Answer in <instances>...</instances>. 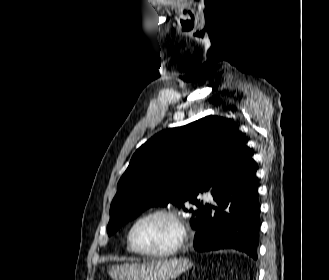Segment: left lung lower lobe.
I'll use <instances>...</instances> for the list:
<instances>
[{
    "instance_id": "1",
    "label": "left lung lower lobe",
    "mask_w": 329,
    "mask_h": 280,
    "mask_svg": "<svg viewBox=\"0 0 329 280\" xmlns=\"http://www.w3.org/2000/svg\"><path fill=\"white\" fill-rule=\"evenodd\" d=\"M250 149L240 153V169L229 185L213 195L217 207L200 209L194 248L198 251L235 249L257 259L260 205L256 166Z\"/></svg>"
}]
</instances>
